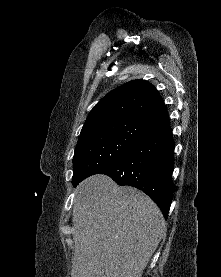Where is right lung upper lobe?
Instances as JSON below:
<instances>
[{
	"label": "right lung upper lobe",
	"mask_w": 221,
	"mask_h": 277,
	"mask_svg": "<svg viewBox=\"0 0 221 277\" xmlns=\"http://www.w3.org/2000/svg\"><path fill=\"white\" fill-rule=\"evenodd\" d=\"M164 106L155 87L145 80H133L109 92L91 110L81 130L101 125L140 122V119Z\"/></svg>",
	"instance_id": "1"
}]
</instances>
